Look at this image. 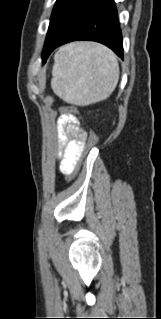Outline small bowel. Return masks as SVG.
I'll return each instance as SVG.
<instances>
[{
  "label": "small bowel",
  "mask_w": 161,
  "mask_h": 319,
  "mask_svg": "<svg viewBox=\"0 0 161 319\" xmlns=\"http://www.w3.org/2000/svg\"><path fill=\"white\" fill-rule=\"evenodd\" d=\"M58 145L60 148V172L71 174L84 146L85 132L78 119L71 113H62L57 120Z\"/></svg>",
  "instance_id": "c3829d8e"
}]
</instances>
